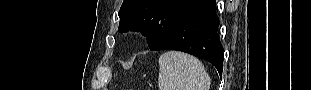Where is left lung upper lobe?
<instances>
[{"mask_svg": "<svg viewBox=\"0 0 311 90\" xmlns=\"http://www.w3.org/2000/svg\"><path fill=\"white\" fill-rule=\"evenodd\" d=\"M202 0H124L119 10V32L141 31L151 49L172 24Z\"/></svg>", "mask_w": 311, "mask_h": 90, "instance_id": "obj_1", "label": "left lung upper lobe"}]
</instances>
